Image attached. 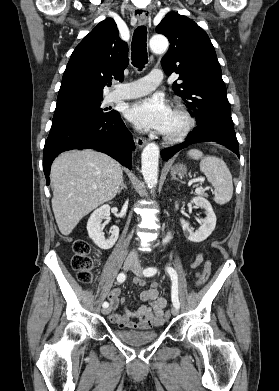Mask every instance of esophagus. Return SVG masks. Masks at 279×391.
Instances as JSON below:
<instances>
[{
    "label": "esophagus",
    "instance_id": "obj_1",
    "mask_svg": "<svg viewBox=\"0 0 279 391\" xmlns=\"http://www.w3.org/2000/svg\"><path fill=\"white\" fill-rule=\"evenodd\" d=\"M137 17L140 23H146L148 19V14L146 12H139L137 13ZM146 143V139L142 137H137L136 144L139 148H142Z\"/></svg>",
    "mask_w": 279,
    "mask_h": 391
}]
</instances>
